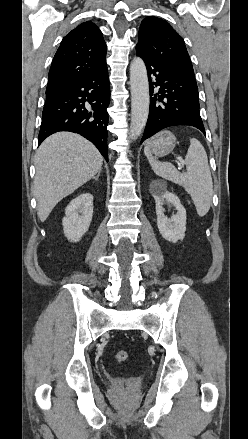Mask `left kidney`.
<instances>
[{"instance_id": "left-kidney-1", "label": "left kidney", "mask_w": 248, "mask_h": 439, "mask_svg": "<svg viewBox=\"0 0 248 439\" xmlns=\"http://www.w3.org/2000/svg\"><path fill=\"white\" fill-rule=\"evenodd\" d=\"M149 190L156 203L157 227L162 237L170 242L176 243L183 240L186 231V210L180 199L166 189V185L160 181H153ZM164 203L172 204L176 207L177 214L168 218L164 214Z\"/></svg>"}]
</instances>
